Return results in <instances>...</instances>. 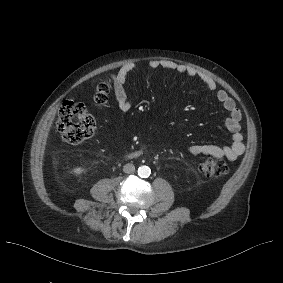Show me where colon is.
I'll return each mask as SVG.
<instances>
[{
	"label": "colon",
	"mask_w": 283,
	"mask_h": 283,
	"mask_svg": "<svg viewBox=\"0 0 283 283\" xmlns=\"http://www.w3.org/2000/svg\"><path fill=\"white\" fill-rule=\"evenodd\" d=\"M109 91L110 83L107 80L94 87L92 99L97 106L106 104ZM57 129L65 142L75 145L93 135L95 122L83 104L65 101L58 114ZM198 170L208 177H222L228 173L229 166L220 159H206L199 164Z\"/></svg>",
	"instance_id": "obj_1"
}]
</instances>
